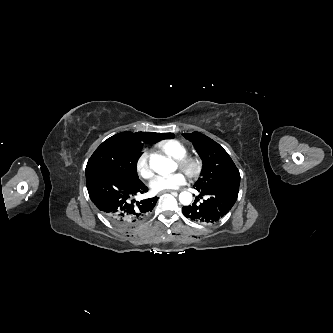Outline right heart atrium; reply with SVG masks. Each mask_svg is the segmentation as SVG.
I'll return each instance as SVG.
<instances>
[{
  "instance_id": "d8ad5b80",
  "label": "right heart atrium",
  "mask_w": 333,
  "mask_h": 333,
  "mask_svg": "<svg viewBox=\"0 0 333 333\" xmlns=\"http://www.w3.org/2000/svg\"><path fill=\"white\" fill-rule=\"evenodd\" d=\"M136 169L138 174L144 179H149L153 176L149 152L145 151L140 155L136 162Z\"/></svg>"
}]
</instances>
